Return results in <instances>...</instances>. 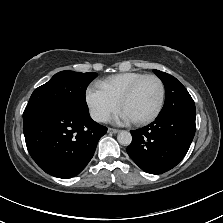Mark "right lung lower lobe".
<instances>
[{
	"label": "right lung lower lobe",
	"instance_id": "right-lung-lower-lobe-1",
	"mask_svg": "<svg viewBox=\"0 0 223 223\" xmlns=\"http://www.w3.org/2000/svg\"><path fill=\"white\" fill-rule=\"evenodd\" d=\"M27 149L46 173L71 178L91 160L107 128L90 115L49 111L23 117Z\"/></svg>",
	"mask_w": 223,
	"mask_h": 223
}]
</instances>
